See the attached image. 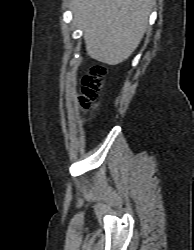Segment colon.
Listing matches in <instances>:
<instances>
[{"instance_id":"colon-1","label":"colon","mask_w":194,"mask_h":250,"mask_svg":"<svg viewBox=\"0 0 194 250\" xmlns=\"http://www.w3.org/2000/svg\"><path fill=\"white\" fill-rule=\"evenodd\" d=\"M106 74L103 66H95L90 73L82 78V94L80 96V104L84 110H89L99 97L102 87V78Z\"/></svg>"}]
</instances>
